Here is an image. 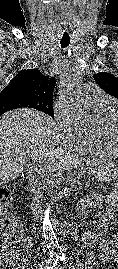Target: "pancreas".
<instances>
[{
	"label": "pancreas",
	"instance_id": "cf45deb5",
	"mask_svg": "<svg viewBox=\"0 0 118 269\" xmlns=\"http://www.w3.org/2000/svg\"><path fill=\"white\" fill-rule=\"evenodd\" d=\"M106 182H89L88 189L92 192H111V187H106Z\"/></svg>",
	"mask_w": 118,
	"mask_h": 269
}]
</instances>
